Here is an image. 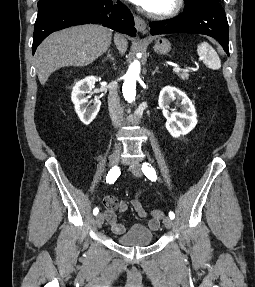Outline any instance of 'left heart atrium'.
Here are the masks:
<instances>
[{
    "label": "left heart atrium",
    "instance_id": "1",
    "mask_svg": "<svg viewBox=\"0 0 255 287\" xmlns=\"http://www.w3.org/2000/svg\"><path fill=\"white\" fill-rule=\"evenodd\" d=\"M138 2H140L141 4H145V3H147V1H149V0H137ZM116 13H122V12H116Z\"/></svg>",
    "mask_w": 255,
    "mask_h": 287
}]
</instances>
